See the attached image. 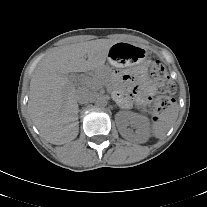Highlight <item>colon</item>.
<instances>
[{
    "mask_svg": "<svg viewBox=\"0 0 207 207\" xmlns=\"http://www.w3.org/2000/svg\"><path fill=\"white\" fill-rule=\"evenodd\" d=\"M150 71L152 77L157 82L161 95L154 101V118L158 119L163 113L172 107V101L163 94H173L176 90L174 82L167 74L165 66L157 59H151Z\"/></svg>",
    "mask_w": 207,
    "mask_h": 207,
    "instance_id": "1",
    "label": "colon"
}]
</instances>
